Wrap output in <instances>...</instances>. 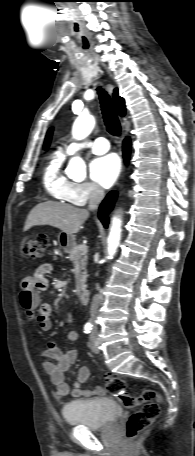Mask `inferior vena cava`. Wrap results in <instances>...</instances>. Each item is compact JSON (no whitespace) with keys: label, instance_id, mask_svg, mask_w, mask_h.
<instances>
[{"label":"inferior vena cava","instance_id":"1","mask_svg":"<svg viewBox=\"0 0 195 456\" xmlns=\"http://www.w3.org/2000/svg\"><path fill=\"white\" fill-rule=\"evenodd\" d=\"M104 198V190L97 186V185H92L90 189V195H89V205L88 208L89 210H96L99 203L102 201ZM101 302V298L98 294L93 296L92 302H91V308H90V316H91V322L95 324V317L98 312V308Z\"/></svg>","mask_w":195,"mask_h":456}]
</instances>
